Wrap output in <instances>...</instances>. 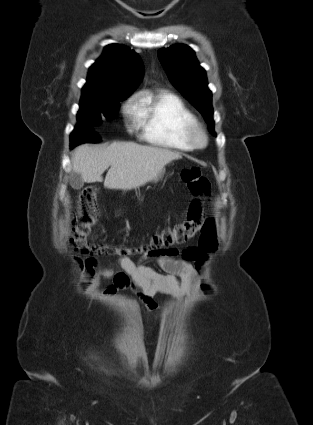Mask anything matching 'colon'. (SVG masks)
<instances>
[{"label": "colon", "mask_w": 313, "mask_h": 425, "mask_svg": "<svg viewBox=\"0 0 313 425\" xmlns=\"http://www.w3.org/2000/svg\"><path fill=\"white\" fill-rule=\"evenodd\" d=\"M181 179L195 197L190 204L186 219L172 227L153 233L148 244L134 248L89 242V235L100 214L98 188L96 186L83 188L79 194V212L72 226L71 247L75 252L84 256L126 257L133 254L158 255L170 246L187 242L200 231L199 247L187 248L182 253L184 259L194 262L196 268L199 269L206 260L207 253L215 250L217 246L214 222L212 220H204L201 206V198L210 194L211 184L198 166L183 169L181 171ZM87 262L89 265L92 264L91 260ZM202 286L205 291L211 290V285L208 282H204Z\"/></svg>", "instance_id": "5ec220e1"}]
</instances>
